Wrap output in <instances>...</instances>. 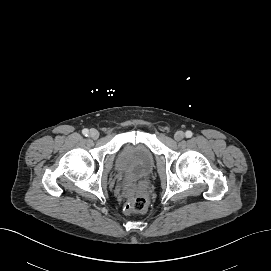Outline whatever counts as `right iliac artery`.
Returning a JSON list of instances; mask_svg holds the SVG:
<instances>
[{
	"mask_svg": "<svg viewBox=\"0 0 271 271\" xmlns=\"http://www.w3.org/2000/svg\"><path fill=\"white\" fill-rule=\"evenodd\" d=\"M82 133H83L84 136H88L89 130L88 129H83Z\"/></svg>",
	"mask_w": 271,
	"mask_h": 271,
	"instance_id": "obj_1",
	"label": "right iliac artery"
}]
</instances>
